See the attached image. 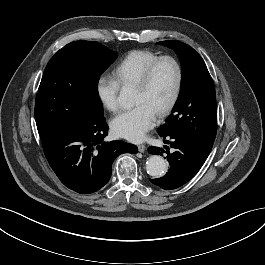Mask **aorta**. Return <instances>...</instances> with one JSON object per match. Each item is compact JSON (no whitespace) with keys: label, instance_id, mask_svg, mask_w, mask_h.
Wrapping results in <instances>:
<instances>
[{"label":"aorta","instance_id":"1","mask_svg":"<svg viewBox=\"0 0 265 265\" xmlns=\"http://www.w3.org/2000/svg\"><path fill=\"white\" fill-rule=\"evenodd\" d=\"M118 100L123 106H130L132 103V91L126 87H123L120 91ZM147 173L155 178H159L167 171V165L165 160L158 155L151 156L146 162Z\"/></svg>","mask_w":265,"mask_h":265}]
</instances>
